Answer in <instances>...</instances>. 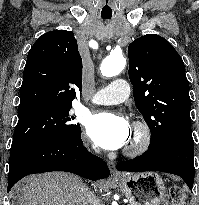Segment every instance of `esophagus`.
I'll use <instances>...</instances> for the list:
<instances>
[{
    "mask_svg": "<svg viewBox=\"0 0 199 205\" xmlns=\"http://www.w3.org/2000/svg\"><path fill=\"white\" fill-rule=\"evenodd\" d=\"M107 164L109 166L111 175L113 177H120L121 176V174L119 172H117L116 167H115V163L113 161H108Z\"/></svg>",
    "mask_w": 199,
    "mask_h": 205,
    "instance_id": "1",
    "label": "esophagus"
}]
</instances>
